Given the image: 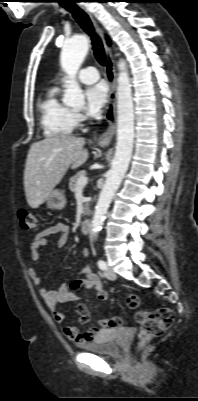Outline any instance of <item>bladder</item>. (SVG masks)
<instances>
[{
	"mask_svg": "<svg viewBox=\"0 0 198 401\" xmlns=\"http://www.w3.org/2000/svg\"><path fill=\"white\" fill-rule=\"evenodd\" d=\"M121 333L122 331L118 328L106 329L96 340L83 345V348L91 353L118 356L121 352V345L117 342V338Z\"/></svg>",
	"mask_w": 198,
	"mask_h": 401,
	"instance_id": "obj_1",
	"label": "bladder"
}]
</instances>
